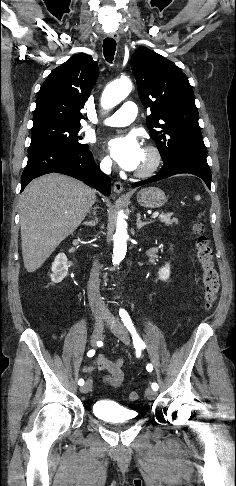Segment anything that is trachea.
<instances>
[{"mask_svg":"<svg viewBox=\"0 0 236 486\" xmlns=\"http://www.w3.org/2000/svg\"><path fill=\"white\" fill-rule=\"evenodd\" d=\"M116 51V41L113 38H105L103 41V53L107 62L112 63Z\"/></svg>","mask_w":236,"mask_h":486,"instance_id":"trachea-1","label":"trachea"}]
</instances>
